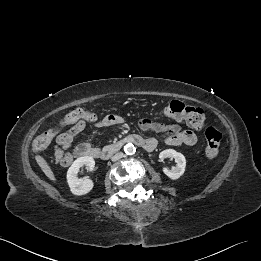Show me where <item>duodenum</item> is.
Segmentation results:
<instances>
[{"label": "duodenum", "mask_w": 261, "mask_h": 261, "mask_svg": "<svg viewBox=\"0 0 261 261\" xmlns=\"http://www.w3.org/2000/svg\"><path fill=\"white\" fill-rule=\"evenodd\" d=\"M129 143L136 144L146 151H152L156 146V143L151 139H144L138 135H131L119 140L116 143L104 147L102 150H99L96 153V157H99L104 160L108 159L114 153L120 151L121 149H123L124 146H126Z\"/></svg>", "instance_id": "duodenum-1"}]
</instances>
